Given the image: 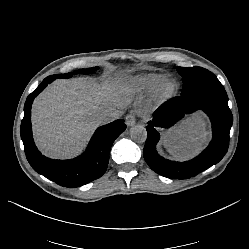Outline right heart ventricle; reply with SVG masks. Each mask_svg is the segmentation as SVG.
<instances>
[{"label":"right heart ventricle","mask_w":249,"mask_h":249,"mask_svg":"<svg viewBox=\"0 0 249 249\" xmlns=\"http://www.w3.org/2000/svg\"><path fill=\"white\" fill-rule=\"evenodd\" d=\"M166 72H150L135 78L134 87L138 91H146L154 87L160 80L166 78Z\"/></svg>","instance_id":"obj_1"}]
</instances>
